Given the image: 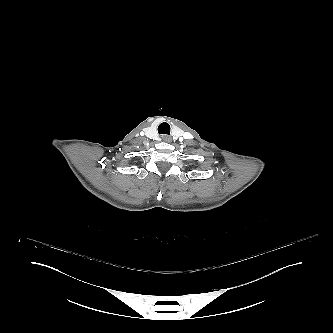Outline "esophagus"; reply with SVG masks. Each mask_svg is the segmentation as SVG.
I'll return each instance as SVG.
<instances>
[{"mask_svg":"<svg viewBox=\"0 0 333 333\" xmlns=\"http://www.w3.org/2000/svg\"><path fill=\"white\" fill-rule=\"evenodd\" d=\"M162 139L165 142H171V138L169 136L164 135V136H162Z\"/></svg>","mask_w":333,"mask_h":333,"instance_id":"1","label":"esophagus"}]
</instances>
